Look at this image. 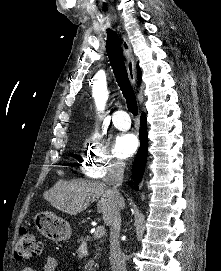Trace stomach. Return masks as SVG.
I'll return each instance as SVG.
<instances>
[{
    "label": "stomach",
    "instance_id": "stomach-1",
    "mask_svg": "<svg viewBox=\"0 0 221 271\" xmlns=\"http://www.w3.org/2000/svg\"><path fill=\"white\" fill-rule=\"evenodd\" d=\"M33 219L38 231L48 239H53V241L68 239L72 233L70 223L65 219H60L50 211H39Z\"/></svg>",
    "mask_w": 221,
    "mask_h": 271
}]
</instances>
